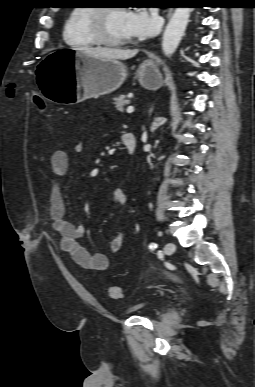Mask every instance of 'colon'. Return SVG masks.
<instances>
[{"label": "colon", "mask_w": 255, "mask_h": 387, "mask_svg": "<svg viewBox=\"0 0 255 387\" xmlns=\"http://www.w3.org/2000/svg\"><path fill=\"white\" fill-rule=\"evenodd\" d=\"M15 93H16V85L12 83L7 87L6 95L9 98H13L15 96ZM34 102L41 110L45 108L44 101L40 97L34 96ZM108 295L112 299H119L122 296V290L119 286H109Z\"/></svg>", "instance_id": "colon-1"}]
</instances>
